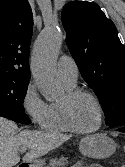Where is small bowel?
Instances as JSON below:
<instances>
[{
  "label": "small bowel",
  "instance_id": "c3829d8e",
  "mask_svg": "<svg viewBox=\"0 0 125 167\" xmlns=\"http://www.w3.org/2000/svg\"><path fill=\"white\" fill-rule=\"evenodd\" d=\"M72 167H102L101 165H98V164H90V165H87L83 162H79L77 164H75L74 166Z\"/></svg>",
  "mask_w": 125,
  "mask_h": 167
}]
</instances>
